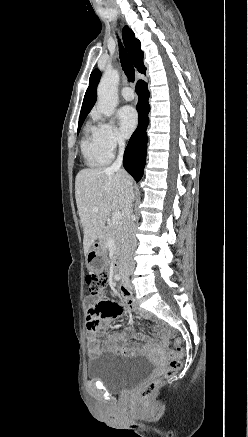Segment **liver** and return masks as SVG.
Returning a JSON list of instances; mask_svg holds the SVG:
<instances>
[{
	"label": "liver",
	"mask_w": 248,
	"mask_h": 437,
	"mask_svg": "<svg viewBox=\"0 0 248 437\" xmlns=\"http://www.w3.org/2000/svg\"><path fill=\"white\" fill-rule=\"evenodd\" d=\"M132 178L124 170L85 168L75 179V198L84 231L83 247L87 254L102 235L111 211L125 207L126 189ZM97 207L98 211H93Z\"/></svg>",
	"instance_id": "6515ba94"
}]
</instances>
